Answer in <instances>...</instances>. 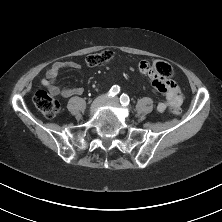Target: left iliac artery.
<instances>
[{
  "instance_id": "1",
  "label": "left iliac artery",
  "mask_w": 222,
  "mask_h": 222,
  "mask_svg": "<svg viewBox=\"0 0 222 222\" xmlns=\"http://www.w3.org/2000/svg\"><path fill=\"white\" fill-rule=\"evenodd\" d=\"M120 102H121L122 106H128L129 102H130L129 96L126 94H122L120 97Z\"/></svg>"
}]
</instances>
